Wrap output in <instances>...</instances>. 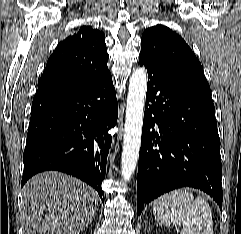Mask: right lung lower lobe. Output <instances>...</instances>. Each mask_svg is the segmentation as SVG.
Returning <instances> with one entry per match:
<instances>
[{"label": "right lung lower lobe", "mask_w": 241, "mask_h": 234, "mask_svg": "<svg viewBox=\"0 0 241 234\" xmlns=\"http://www.w3.org/2000/svg\"><path fill=\"white\" fill-rule=\"evenodd\" d=\"M118 104L111 74L82 87L33 99L23 154L21 186L36 173L57 170L95 188L101 183L117 122Z\"/></svg>", "instance_id": "right-lung-lower-lobe-1"}]
</instances>
